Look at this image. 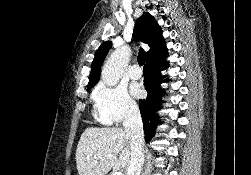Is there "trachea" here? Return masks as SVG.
I'll return each mask as SVG.
<instances>
[{"mask_svg":"<svg viewBox=\"0 0 251 175\" xmlns=\"http://www.w3.org/2000/svg\"><path fill=\"white\" fill-rule=\"evenodd\" d=\"M137 60L140 65H144L146 60V53L143 51V49H140Z\"/></svg>","mask_w":251,"mask_h":175,"instance_id":"3493384b","label":"trachea"}]
</instances>
